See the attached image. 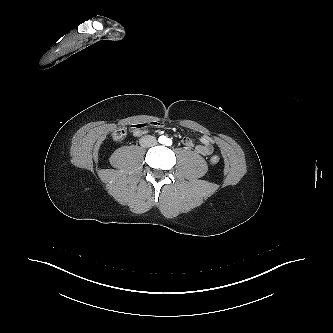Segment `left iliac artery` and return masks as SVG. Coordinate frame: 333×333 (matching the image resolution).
<instances>
[{"instance_id": "left-iliac-artery-1", "label": "left iliac artery", "mask_w": 333, "mask_h": 333, "mask_svg": "<svg viewBox=\"0 0 333 333\" xmlns=\"http://www.w3.org/2000/svg\"><path fill=\"white\" fill-rule=\"evenodd\" d=\"M165 144L167 146H171L172 145V140L171 139H167Z\"/></svg>"}]
</instances>
